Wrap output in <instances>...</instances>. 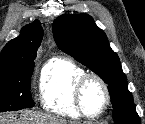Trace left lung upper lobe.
<instances>
[{
  "label": "left lung upper lobe",
  "mask_w": 145,
  "mask_h": 124,
  "mask_svg": "<svg viewBox=\"0 0 145 124\" xmlns=\"http://www.w3.org/2000/svg\"><path fill=\"white\" fill-rule=\"evenodd\" d=\"M58 47L108 84L115 124H140L127 79L105 33L86 14H64L53 23Z\"/></svg>",
  "instance_id": "obj_1"
}]
</instances>
